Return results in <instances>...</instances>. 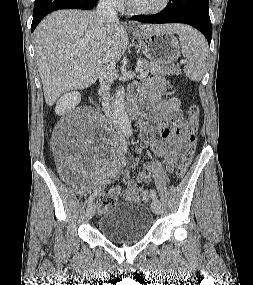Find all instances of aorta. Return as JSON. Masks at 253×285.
<instances>
[{
	"mask_svg": "<svg viewBox=\"0 0 253 285\" xmlns=\"http://www.w3.org/2000/svg\"><path fill=\"white\" fill-rule=\"evenodd\" d=\"M125 89L124 87L118 88L114 98V116L118 127L125 133H132L131 122L129 121L128 115L125 111Z\"/></svg>",
	"mask_w": 253,
	"mask_h": 285,
	"instance_id": "1",
	"label": "aorta"
}]
</instances>
